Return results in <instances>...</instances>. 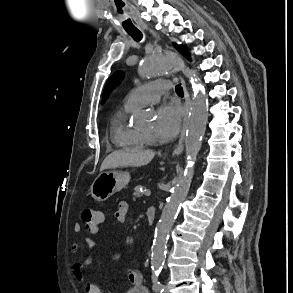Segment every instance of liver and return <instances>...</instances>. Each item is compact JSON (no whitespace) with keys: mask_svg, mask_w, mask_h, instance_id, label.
Instances as JSON below:
<instances>
[{"mask_svg":"<svg viewBox=\"0 0 293 293\" xmlns=\"http://www.w3.org/2000/svg\"><path fill=\"white\" fill-rule=\"evenodd\" d=\"M154 156L155 152L152 150H142L138 152L115 151L105 158L100 171L127 166H144L150 163Z\"/></svg>","mask_w":293,"mask_h":293,"instance_id":"liver-1","label":"liver"}]
</instances>
